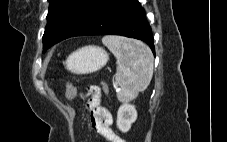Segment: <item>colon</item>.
Wrapping results in <instances>:
<instances>
[{
    "label": "colon",
    "instance_id": "obj_1",
    "mask_svg": "<svg viewBox=\"0 0 227 142\" xmlns=\"http://www.w3.org/2000/svg\"><path fill=\"white\" fill-rule=\"evenodd\" d=\"M76 95V89L72 83H69L66 90V98L72 100Z\"/></svg>",
    "mask_w": 227,
    "mask_h": 142
}]
</instances>
